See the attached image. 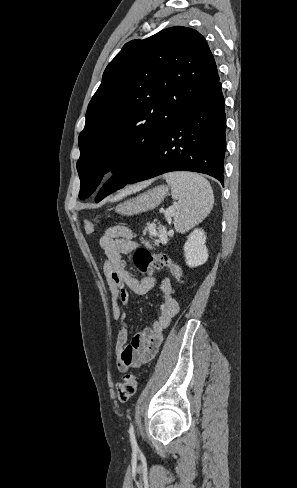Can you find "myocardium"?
I'll return each instance as SVG.
<instances>
[{"label":"myocardium","mask_w":297,"mask_h":488,"mask_svg":"<svg viewBox=\"0 0 297 488\" xmlns=\"http://www.w3.org/2000/svg\"><path fill=\"white\" fill-rule=\"evenodd\" d=\"M124 160V157L121 155V154H117L115 155L114 157L111 158V163H110V169L112 171L116 170L120 164L122 163V161Z\"/></svg>","instance_id":"1"}]
</instances>
